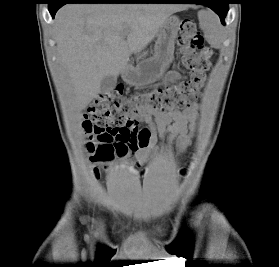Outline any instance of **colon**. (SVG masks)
I'll return each mask as SVG.
<instances>
[{"label": "colon", "mask_w": 279, "mask_h": 267, "mask_svg": "<svg viewBox=\"0 0 279 267\" xmlns=\"http://www.w3.org/2000/svg\"><path fill=\"white\" fill-rule=\"evenodd\" d=\"M178 44L181 64L191 75L189 80L126 96H123V87L118 85L99 95L87 109L83 128L96 175L115 155L122 156L130 146L146 141L148 133L145 130L137 132L133 127L135 116L181 110L198 97L210 65L211 50L204 45V38L191 19L180 22ZM182 173L185 174L186 169Z\"/></svg>", "instance_id": "colon-1"}]
</instances>
